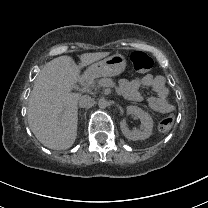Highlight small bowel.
<instances>
[{"label": "small bowel", "mask_w": 208, "mask_h": 208, "mask_svg": "<svg viewBox=\"0 0 208 208\" xmlns=\"http://www.w3.org/2000/svg\"><path fill=\"white\" fill-rule=\"evenodd\" d=\"M119 85L124 97L133 102L142 101L140 88H150L154 92V95L147 99L150 110L161 114L170 113L173 110L165 79L162 76L143 74L132 80L121 79Z\"/></svg>", "instance_id": "1"}]
</instances>
